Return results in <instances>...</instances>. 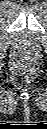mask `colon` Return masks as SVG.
Listing matches in <instances>:
<instances>
[{
	"label": "colon",
	"mask_w": 47,
	"mask_h": 129,
	"mask_svg": "<svg viewBox=\"0 0 47 129\" xmlns=\"http://www.w3.org/2000/svg\"><path fill=\"white\" fill-rule=\"evenodd\" d=\"M20 68L24 75H29L32 72V65L28 62H22Z\"/></svg>",
	"instance_id": "obj_1"
}]
</instances>
